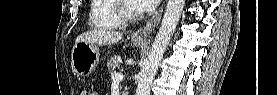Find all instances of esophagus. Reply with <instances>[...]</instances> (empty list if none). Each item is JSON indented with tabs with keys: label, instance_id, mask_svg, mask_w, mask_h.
Listing matches in <instances>:
<instances>
[{
	"label": "esophagus",
	"instance_id": "obj_1",
	"mask_svg": "<svg viewBox=\"0 0 277 95\" xmlns=\"http://www.w3.org/2000/svg\"><path fill=\"white\" fill-rule=\"evenodd\" d=\"M163 5L162 7L147 21V23L135 31L133 36L137 39H147L152 31L159 25L161 16L163 13Z\"/></svg>",
	"mask_w": 277,
	"mask_h": 95
}]
</instances>
